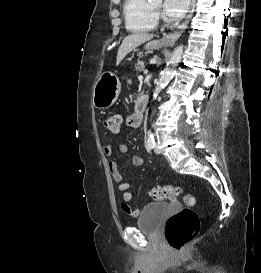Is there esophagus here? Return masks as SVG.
<instances>
[{"instance_id":"obj_1","label":"esophagus","mask_w":261,"mask_h":273,"mask_svg":"<svg viewBox=\"0 0 261 273\" xmlns=\"http://www.w3.org/2000/svg\"><path fill=\"white\" fill-rule=\"evenodd\" d=\"M194 1L195 0H192V7L190 9V12L186 18V20L178 27L177 30H175L174 32L172 33H169V34H163L162 35V41L168 45H173L177 39L181 36L182 32L187 28L188 26V23H189V20L191 18V14H192V11H193V5H194Z\"/></svg>"}]
</instances>
